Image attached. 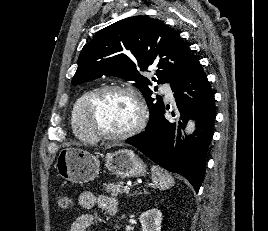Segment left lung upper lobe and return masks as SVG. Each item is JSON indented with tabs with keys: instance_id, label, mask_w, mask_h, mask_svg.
<instances>
[{
	"instance_id": "obj_1",
	"label": "left lung upper lobe",
	"mask_w": 268,
	"mask_h": 231,
	"mask_svg": "<svg viewBox=\"0 0 268 231\" xmlns=\"http://www.w3.org/2000/svg\"><path fill=\"white\" fill-rule=\"evenodd\" d=\"M197 60L180 35L161 20L147 16L122 19L102 30L87 43L79 56L73 85L102 75L134 81L150 110L151 125L164 108L162 97H151V82L140 71L156 69L152 80L171 83Z\"/></svg>"
}]
</instances>
